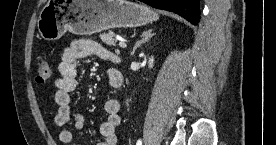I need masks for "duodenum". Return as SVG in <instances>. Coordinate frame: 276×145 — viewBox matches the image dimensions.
Returning <instances> with one entry per match:
<instances>
[{"label":"duodenum","instance_id":"410a0bca","mask_svg":"<svg viewBox=\"0 0 276 145\" xmlns=\"http://www.w3.org/2000/svg\"><path fill=\"white\" fill-rule=\"evenodd\" d=\"M123 82V76L122 74L118 71L117 75L111 80V84L114 86H119Z\"/></svg>","mask_w":276,"mask_h":145}]
</instances>
